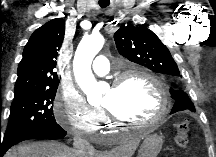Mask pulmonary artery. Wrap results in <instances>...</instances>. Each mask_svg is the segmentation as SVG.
Returning a JSON list of instances; mask_svg holds the SVG:
<instances>
[{
    "instance_id": "e3ab8cb5",
    "label": "pulmonary artery",
    "mask_w": 216,
    "mask_h": 157,
    "mask_svg": "<svg viewBox=\"0 0 216 157\" xmlns=\"http://www.w3.org/2000/svg\"><path fill=\"white\" fill-rule=\"evenodd\" d=\"M92 69L97 75H106L109 73L110 64L108 58L104 55L96 56L92 63Z\"/></svg>"
}]
</instances>
